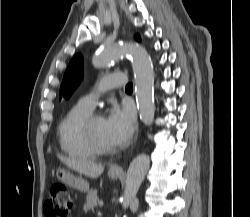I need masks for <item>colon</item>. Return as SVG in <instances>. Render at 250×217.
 <instances>
[{"label": "colon", "instance_id": "colon-1", "mask_svg": "<svg viewBox=\"0 0 250 217\" xmlns=\"http://www.w3.org/2000/svg\"><path fill=\"white\" fill-rule=\"evenodd\" d=\"M72 210V199L68 188L63 184H55L50 190L44 205L47 217H69Z\"/></svg>", "mask_w": 250, "mask_h": 217}]
</instances>
